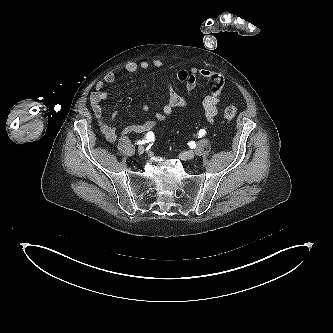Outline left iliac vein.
Returning a JSON list of instances; mask_svg holds the SVG:
<instances>
[{
  "label": "left iliac vein",
  "instance_id": "left-iliac-vein-1",
  "mask_svg": "<svg viewBox=\"0 0 333 333\" xmlns=\"http://www.w3.org/2000/svg\"><path fill=\"white\" fill-rule=\"evenodd\" d=\"M195 156V153L193 151H185V152H182L180 153L179 157L182 159V160H191L193 159Z\"/></svg>",
  "mask_w": 333,
  "mask_h": 333
}]
</instances>
